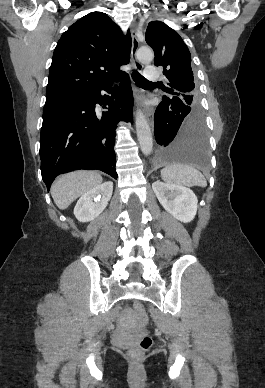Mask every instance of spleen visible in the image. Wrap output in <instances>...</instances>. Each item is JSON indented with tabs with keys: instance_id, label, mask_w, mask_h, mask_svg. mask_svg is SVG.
<instances>
[{
	"instance_id": "1",
	"label": "spleen",
	"mask_w": 265,
	"mask_h": 388,
	"mask_svg": "<svg viewBox=\"0 0 265 388\" xmlns=\"http://www.w3.org/2000/svg\"><path fill=\"white\" fill-rule=\"evenodd\" d=\"M161 178L168 184H176V186H202L205 188L207 182L202 176L201 172H198L196 168L187 166V164H179V162H173L166 168L161 170Z\"/></svg>"
}]
</instances>
